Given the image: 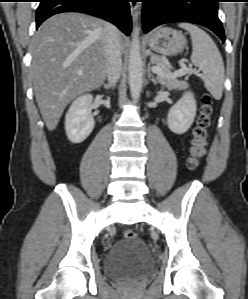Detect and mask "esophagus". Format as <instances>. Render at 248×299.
<instances>
[{
	"label": "esophagus",
	"mask_w": 248,
	"mask_h": 299,
	"mask_svg": "<svg viewBox=\"0 0 248 299\" xmlns=\"http://www.w3.org/2000/svg\"><path fill=\"white\" fill-rule=\"evenodd\" d=\"M130 11L133 18V21L136 22L138 20L140 14V5L135 1L130 3Z\"/></svg>",
	"instance_id": "34e87169"
}]
</instances>
